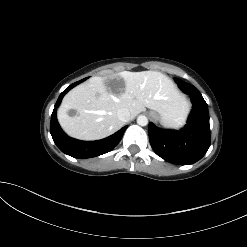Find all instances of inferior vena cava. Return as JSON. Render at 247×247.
Returning a JSON list of instances; mask_svg holds the SVG:
<instances>
[{
	"label": "inferior vena cava",
	"mask_w": 247,
	"mask_h": 247,
	"mask_svg": "<svg viewBox=\"0 0 247 247\" xmlns=\"http://www.w3.org/2000/svg\"><path fill=\"white\" fill-rule=\"evenodd\" d=\"M117 117L119 120H121L122 122H127L130 120V112L128 109L126 108H122V109H119L117 111Z\"/></svg>",
	"instance_id": "inferior-vena-cava-1"
}]
</instances>
